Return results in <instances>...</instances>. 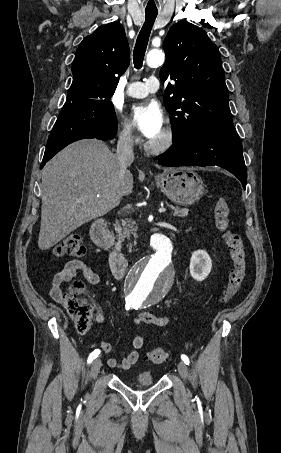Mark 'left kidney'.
I'll return each mask as SVG.
<instances>
[{"mask_svg":"<svg viewBox=\"0 0 281 453\" xmlns=\"http://www.w3.org/2000/svg\"><path fill=\"white\" fill-rule=\"evenodd\" d=\"M212 269V261L206 251H195L190 259V275L195 281H204Z\"/></svg>","mask_w":281,"mask_h":453,"instance_id":"5707ae66","label":"left kidney"}]
</instances>
